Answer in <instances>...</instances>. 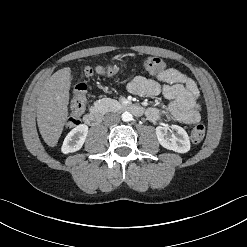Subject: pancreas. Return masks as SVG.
I'll return each mask as SVG.
<instances>
[{"label": "pancreas", "instance_id": "obj_1", "mask_svg": "<svg viewBox=\"0 0 247 247\" xmlns=\"http://www.w3.org/2000/svg\"><path fill=\"white\" fill-rule=\"evenodd\" d=\"M95 106L99 111L107 112L122 107V104L111 98H102L95 102Z\"/></svg>", "mask_w": 247, "mask_h": 247}]
</instances>
